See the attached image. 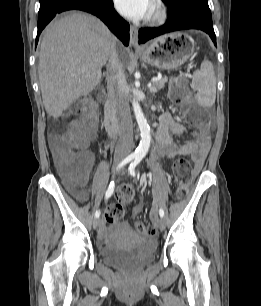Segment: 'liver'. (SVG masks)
Instances as JSON below:
<instances>
[{
	"label": "liver",
	"instance_id": "6515ba94",
	"mask_svg": "<svg viewBox=\"0 0 261 306\" xmlns=\"http://www.w3.org/2000/svg\"><path fill=\"white\" fill-rule=\"evenodd\" d=\"M116 37L96 17L75 12L51 23L39 55V84L45 110L58 118L101 81Z\"/></svg>",
	"mask_w": 261,
	"mask_h": 306
}]
</instances>
